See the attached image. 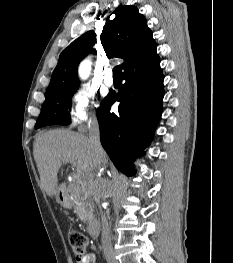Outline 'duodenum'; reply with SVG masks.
Wrapping results in <instances>:
<instances>
[{
	"mask_svg": "<svg viewBox=\"0 0 233 263\" xmlns=\"http://www.w3.org/2000/svg\"><path fill=\"white\" fill-rule=\"evenodd\" d=\"M66 187L65 186H60V194H59V199L63 203H66ZM69 206H71L70 203H68ZM89 234L93 239H98L99 233H98V226L95 223H91L89 227Z\"/></svg>",
	"mask_w": 233,
	"mask_h": 263,
	"instance_id": "duodenum-1",
	"label": "duodenum"
}]
</instances>
